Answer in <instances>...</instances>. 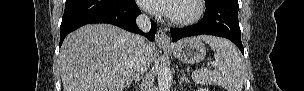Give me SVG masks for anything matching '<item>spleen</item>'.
Returning a JSON list of instances; mask_svg holds the SVG:
<instances>
[{
    "mask_svg": "<svg viewBox=\"0 0 304 91\" xmlns=\"http://www.w3.org/2000/svg\"><path fill=\"white\" fill-rule=\"evenodd\" d=\"M200 41L214 50V69L196 70L192 73V80L197 84L221 86L227 91H242L245 70L236 46L216 36H203Z\"/></svg>",
    "mask_w": 304,
    "mask_h": 91,
    "instance_id": "1",
    "label": "spleen"
}]
</instances>
